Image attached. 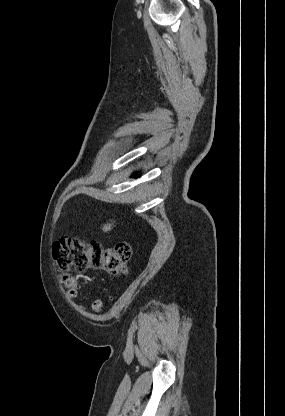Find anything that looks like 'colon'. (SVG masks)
<instances>
[{
    "instance_id": "5ec220e1",
    "label": "colon",
    "mask_w": 285,
    "mask_h": 416,
    "mask_svg": "<svg viewBox=\"0 0 285 416\" xmlns=\"http://www.w3.org/2000/svg\"><path fill=\"white\" fill-rule=\"evenodd\" d=\"M52 251L63 282L73 290L78 288L76 275L87 269L104 271L112 276L125 274L131 257L128 243L118 242L107 247L100 241L80 237L63 238L54 243Z\"/></svg>"
}]
</instances>
